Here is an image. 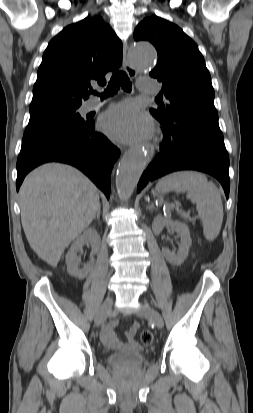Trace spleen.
Instances as JSON below:
<instances>
[{
  "mask_svg": "<svg viewBox=\"0 0 253 413\" xmlns=\"http://www.w3.org/2000/svg\"><path fill=\"white\" fill-rule=\"evenodd\" d=\"M156 190L160 192H186L187 198L196 204L202 220L204 237L213 241L221 230L223 205L218 188L206 176L196 171H178L159 180Z\"/></svg>",
  "mask_w": 253,
  "mask_h": 413,
  "instance_id": "1",
  "label": "spleen"
}]
</instances>
